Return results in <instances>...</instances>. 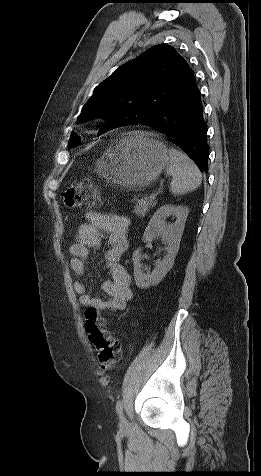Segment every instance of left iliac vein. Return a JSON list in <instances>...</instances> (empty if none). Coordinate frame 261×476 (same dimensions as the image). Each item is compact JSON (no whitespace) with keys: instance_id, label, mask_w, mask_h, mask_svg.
<instances>
[{"instance_id":"4c4485c4","label":"left iliac vein","mask_w":261,"mask_h":476,"mask_svg":"<svg viewBox=\"0 0 261 476\" xmlns=\"http://www.w3.org/2000/svg\"><path fill=\"white\" fill-rule=\"evenodd\" d=\"M120 424H121V426H123V427H124V426H127V424H128L127 419H126V417H125L123 414L120 415Z\"/></svg>"}]
</instances>
